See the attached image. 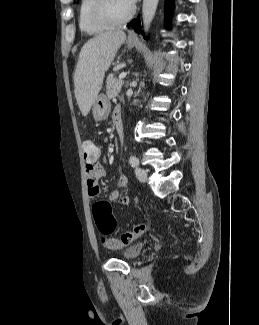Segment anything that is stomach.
<instances>
[{"label": "stomach", "instance_id": "0dacf381", "mask_svg": "<svg viewBox=\"0 0 259 325\" xmlns=\"http://www.w3.org/2000/svg\"><path fill=\"white\" fill-rule=\"evenodd\" d=\"M127 47L133 48L135 45L134 41L127 40ZM111 109L110 101L105 95H99L93 103V117L96 121L104 120L108 117Z\"/></svg>", "mask_w": 259, "mask_h": 325}]
</instances>
